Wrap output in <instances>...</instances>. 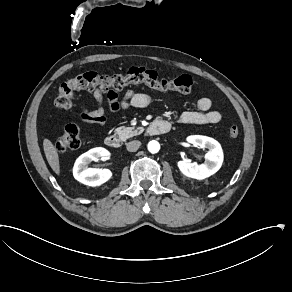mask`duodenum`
<instances>
[{
  "label": "duodenum",
  "mask_w": 292,
  "mask_h": 292,
  "mask_svg": "<svg viewBox=\"0 0 292 292\" xmlns=\"http://www.w3.org/2000/svg\"><path fill=\"white\" fill-rule=\"evenodd\" d=\"M171 130V123L167 120L159 119L154 121L146 128V135L155 136L160 134H167ZM105 143L112 149L120 148V139L115 134H110L105 138Z\"/></svg>",
  "instance_id": "duodenum-1"
}]
</instances>
